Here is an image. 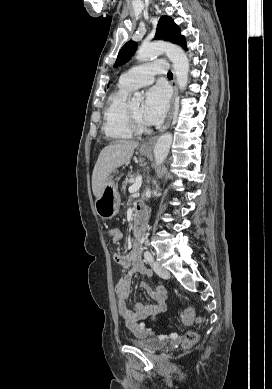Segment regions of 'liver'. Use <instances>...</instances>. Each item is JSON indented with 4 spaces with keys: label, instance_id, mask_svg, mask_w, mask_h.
Instances as JSON below:
<instances>
[{
    "label": "liver",
    "instance_id": "obj_1",
    "mask_svg": "<svg viewBox=\"0 0 272 389\" xmlns=\"http://www.w3.org/2000/svg\"><path fill=\"white\" fill-rule=\"evenodd\" d=\"M138 145L136 141H119L101 150L92 174V191L96 198L100 197L110 174L129 162Z\"/></svg>",
    "mask_w": 272,
    "mask_h": 389
}]
</instances>
